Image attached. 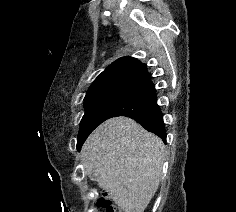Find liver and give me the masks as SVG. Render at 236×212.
Masks as SVG:
<instances>
[{"label":"liver","mask_w":236,"mask_h":212,"mask_svg":"<svg viewBox=\"0 0 236 212\" xmlns=\"http://www.w3.org/2000/svg\"><path fill=\"white\" fill-rule=\"evenodd\" d=\"M165 146L134 120L111 118L99 125L81 150L83 170L98 175L99 187L124 212H144L155 195Z\"/></svg>","instance_id":"1"}]
</instances>
